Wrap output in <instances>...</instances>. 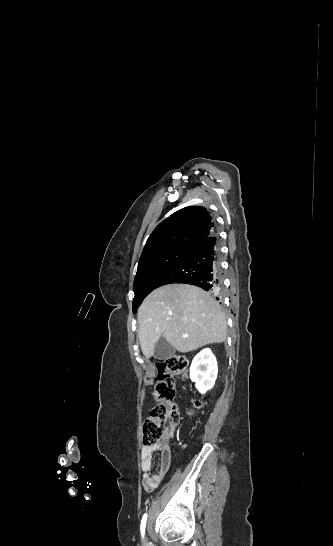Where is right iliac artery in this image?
<instances>
[{"instance_id": "right-iliac-artery-1", "label": "right iliac artery", "mask_w": 333, "mask_h": 546, "mask_svg": "<svg viewBox=\"0 0 333 546\" xmlns=\"http://www.w3.org/2000/svg\"><path fill=\"white\" fill-rule=\"evenodd\" d=\"M146 521H147V514H144V516L142 518V521H141V535H142V537H144Z\"/></svg>"}]
</instances>
